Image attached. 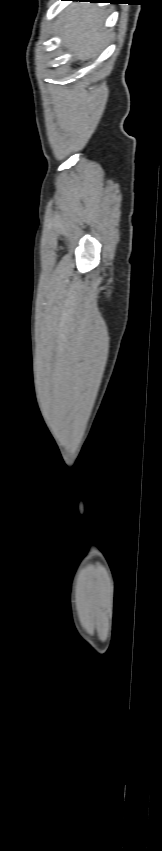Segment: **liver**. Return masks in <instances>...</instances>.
<instances>
[{
    "label": "liver",
    "mask_w": 162,
    "mask_h": 851,
    "mask_svg": "<svg viewBox=\"0 0 162 851\" xmlns=\"http://www.w3.org/2000/svg\"><path fill=\"white\" fill-rule=\"evenodd\" d=\"M105 12L89 3H73L59 16L56 33L62 45L80 60L97 57L108 38L104 29Z\"/></svg>",
    "instance_id": "6515ba94"
}]
</instances>
